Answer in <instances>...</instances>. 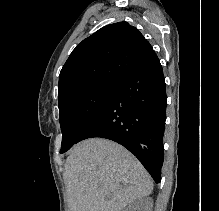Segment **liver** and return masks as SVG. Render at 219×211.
<instances>
[{"label":"liver","mask_w":219,"mask_h":211,"mask_svg":"<svg viewBox=\"0 0 219 211\" xmlns=\"http://www.w3.org/2000/svg\"><path fill=\"white\" fill-rule=\"evenodd\" d=\"M64 167L69 211H123L153 189V179L139 159L104 137L76 143Z\"/></svg>","instance_id":"liver-1"}]
</instances>
